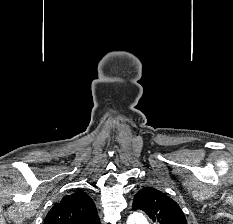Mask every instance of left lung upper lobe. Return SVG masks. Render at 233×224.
Instances as JSON below:
<instances>
[{
  "label": "left lung upper lobe",
  "instance_id": "obj_1",
  "mask_svg": "<svg viewBox=\"0 0 233 224\" xmlns=\"http://www.w3.org/2000/svg\"><path fill=\"white\" fill-rule=\"evenodd\" d=\"M132 208L146 212L154 224H187L179 205L152 187H144L137 192Z\"/></svg>",
  "mask_w": 233,
  "mask_h": 224
}]
</instances>
